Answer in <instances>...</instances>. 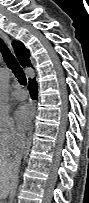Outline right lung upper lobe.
<instances>
[{
  "instance_id": "cb5924a9",
  "label": "right lung upper lobe",
  "mask_w": 89,
  "mask_h": 203,
  "mask_svg": "<svg viewBox=\"0 0 89 203\" xmlns=\"http://www.w3.org/2000/svg\"><path fill=\"white\" fill-rule=\"evenodd\" d=\"M12 46L14 47L15 53L22 66H32L29 59V50L25 48L24 44L20 41H13Z\"/></svg>"
}]
</instances>
